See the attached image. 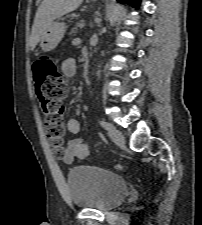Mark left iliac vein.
<instances>
[{"instance_id": "1", "label": "left iliac vein", "mask_w": 202, "mask_h": 225, "mask_svg": "<svg viewBox=\"0 0 202 225\" xmlns=\"http://www.w3.org/2000/svg\"><path fill=\"white\" fill-rule=\"evenodd\" d=\"M108 134L115 144H117L118 146L124 145L125 139L121 131L117 130L116 128H113L111 130H108Z\"/></svg>"}]
</instances>
